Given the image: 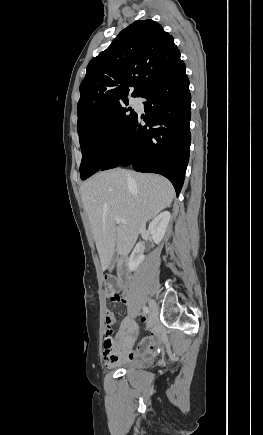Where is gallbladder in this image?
I'll use <instances>...</instances> for the list:
<instances>
[{
	"mask_svg": "<svg viewBox=\"0 0 263 435\" xmlns=\"http://www.w3.org/2000/svg\"><path fill=\"white\" fill-rule=\"evenodd\" d=\"M116 262H117V255L114 254L113 259H112V262H111V265H110V270H113V269H114V267H115V265H116Z\"/></svg>",
	"mask_w": 263,
	"mask_h": 435,
	"instance_id": "obj_1",
	"label": "gallbladder"
}]
</instances>
